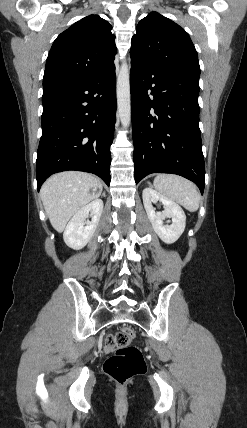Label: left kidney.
<instances>
[{
	"label": "left kidney",
	"mask_w": 247,
	"mask_h": 428,
	"mask_svg": "<svg viewBox=\"0 0 247 428\" xmlns=\"http://www.w3.org/2000/svg\"><path fill=\"white\" fill-rule=\"evenodd\" d=\"M143 204L152 224V227L160 239L172 244L182 235L186 225V215L183 209L173 200L161 195L151 187H147L142 192ZM160 201L164 205L162 212H156L152 203ZM171 218L170 225H164L163 220Z\"/></svg>",
	"instance_id": "left-kidney-1"
}]
</instances>
